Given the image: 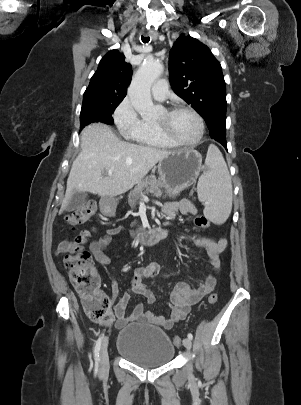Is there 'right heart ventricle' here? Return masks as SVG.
<instances>
[{
	"instance_id": "obj_1",
	"label": "right heart ventricle",
	"mask_w": 301,
	"mask_h": 405,
	"mask_svg": "<svg viewBox=\"0 0 301 405\" xmlns=\"http://www.w3.org/2000/svg\"><path fill=\"white\" fill-rule=\"evenodd\" d=\"M129 137L135 142L156 148H173L174 144L164 139L156 130L154 123L143 121Z\"/></svg>"
}]
</instances>
